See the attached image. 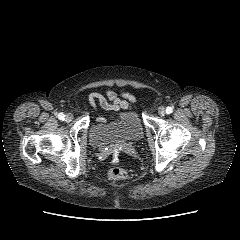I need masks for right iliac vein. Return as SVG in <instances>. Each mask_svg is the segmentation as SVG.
I'll return each instance as SVG.
<instances>
[{
  "label": "right iliac vein",
  "mask_w": 240,
  "mask_h": 240,
  "mask_svg": "<svg viewBox=\"0 0 240 240\" xmlns=\"http://www.w3.org/2000/svg\"><path fill=\"white\" fill-rule=\"evenodd\" d=\"M72 119H73V115H72L71 113H67V114L65 115V121H66V122H71Z\"/></svg>",
  "instance_id": "right-iliac-vein-1"
}]
</instances>
